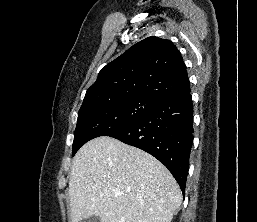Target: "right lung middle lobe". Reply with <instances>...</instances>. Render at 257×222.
Returning a JSON list of instances; mask_svg holds the SVG:
<instances>
[{"label": "right lung middle lobe", "mask_w": 257, "mask_h": 222, "mask_svg": "<svg viewBox=\"0 0 257 222\" xmlns=\"http://www.w3.org/2000/svg\"><path fill=\"white\" fill-rule=\"evenodd\" d=\"M158 104L146 97L98 98L83 103L78 112L72 156L89 140L110 136L131 126Z\"/></svg>", "instance_id": "obj_1"}]
</instances>
